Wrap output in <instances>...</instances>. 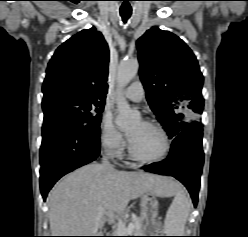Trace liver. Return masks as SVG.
I'll return each mask as SVG.
<instances>
[{
  "mask_svg": "<svg viewBox=\"0 0 248 237\" xmlns=\"http://www.w3.org/2000/svg\"><path fill=\"white\" fill-rule=\"evenodd\" d=\"M179 186L168 178L145 172H125L88 164L61 179L48 195L52 236H101L109 214L122 213L145 193L160 195ZM101 214L100 219L97 217Z\"/></svg>",
  "mask_w": 248,
  "mask_h": 237,
  "instance_id": "1",
  "label": "liver"
}]
</instances>
